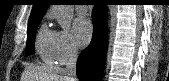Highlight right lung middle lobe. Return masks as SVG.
I'll list each match as a JSON object with an SVG mask.
<instances>
[{"label":"right lung middle lobe","mask_w":169,"mask_h":81,"mask_svg":"<svg viewBox=\"0 0 169 81\" xmlns=\"http://www.w3.org/2000/svg\"><path fill=\"white\" fill-rule=\"evenodd\" d=\"M40 21L41 20L28 23L26 56L32 55L35 52L34 49L35 34H36L37 26L40 23Z\"/></svg>","instance_id":"dd1d6c3e"}]
</instances>
